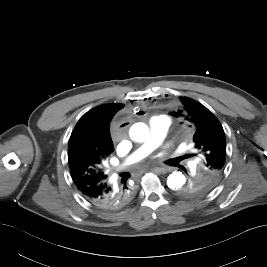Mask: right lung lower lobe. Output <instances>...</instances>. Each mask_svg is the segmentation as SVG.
Returning a JSON list of instances; mask_svg holds the SVG:
<instances>
[{
  "label": "right lung lower lobe",
  "instance_id": "obj_1",
  "mask_svg": "<svg viewBox=\"0 0 267 267\" xmlns=\"http://www.w3.org/2000/svg\"><path fill=\"white\" fill-rule=\"evenodd\" d=\"M79 190L89 202L103 209H118L124 206L132 196L131 190L126 184L117 187L109 184L106 179Z\"/></svg>",
  "mask_w": 267,
  "mask_h": 267
}]
</instances>
